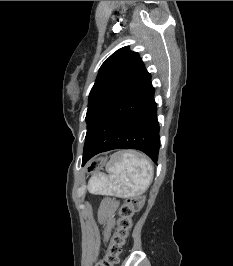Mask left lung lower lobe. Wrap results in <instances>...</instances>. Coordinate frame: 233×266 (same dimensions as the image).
Here are the masks:
<instances>
[{
	"label": "left lung lower lobe",
	"mask_w": 233,
	"mask_h": 266,
	"mask_svg": "<svg viewBox=\"0 0 233 266\" xmlns=\"http://www.w3.org/2000/svg\"><path fill=\"white\" fill-rule=\"evenodd\" d=\"M159 146L154 88L144 68L100 117L85 142L82 164L100 152L121 148L141 150L156 163Z\"/></svg>",
	"instance_id": "obj_1"
}]
</instances>
